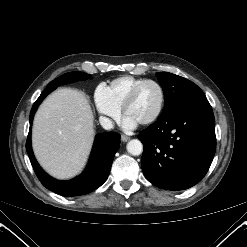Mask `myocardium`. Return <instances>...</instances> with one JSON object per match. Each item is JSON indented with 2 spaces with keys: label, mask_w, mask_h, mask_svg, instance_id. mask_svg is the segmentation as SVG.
Returning <instances> with one entry per match:
<instances>
[{
  "label": "myocardium",
  "mask_w": 247,
  "mask_h": 247,
  "mask_svg": "<svg viewBox=\"0 0 247 247\" xmlns=\"http://www.w3.org/2000/svg\"><path fill=\"white\" fill-rule=\"evenodd\" d=\"M147 84H153L159 89L160 103H159L158 109L154 113V115L151 116L150 118H148L147 120L141 122L142 125H150V124L156 122L160 118V116L162 115L163 110L165 108V102H166V93H165V89H164L163 85L156 80L145 79L144 81L140 82L139 84H137L132 89V91L129 93V95L127 96V98L125 99V101L122 105L123 113L126 114L129 106L136 100L140 90Z\"/></svg>",
  "instance_id": "f54148a6"
}]
</instances>
